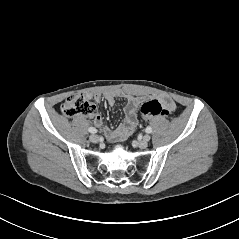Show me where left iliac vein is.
<instances>
[{
    "instance_id": "obj_1",
    "label": "left iliac vein",
    "mask_w": 239,
    "mask_h": 239,
    "mask_svg": "<svg viewBox=\"0 0 239 239\" xmlns=\"http://www.w3.org/2000/svg\"><path fill=\"white\" fill-rule=\"evenodd\" d=\"M149 140H150V136H149V135H145V136L143 137V139L138 142V146H139L140 148H142V149H143V148H146V147L148 146Z\"/></svg>"
}]
</instances>
